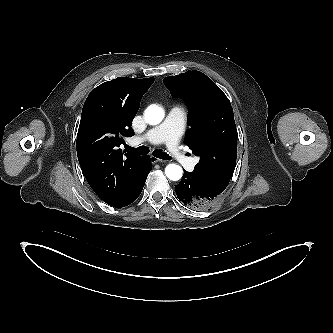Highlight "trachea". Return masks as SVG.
Wrapping results in <instances>:
<instances>
[{
    "label": "trachea",
    "mask_w": 333,
    "mask_h": 333,
    "mask_svg": "<svg viewBox=\"0 0 333 333\" xmlns=\"http://www.w3.org/2000/svg\"><path fill=\"white\" fill-rule=\"evenodd\" d=\"M125 150L128 151V152H131L133 154H137V155H146V154L149 153V148L145 147V146H141V147H138V148H133L131 146L126 145ZM152 154L155 157L160 158V159H164V160L171 159V157L167 153L162 152L160 150H155V151H153Z\"/></svg>",
    "instance_id": "1"
}]
</instances>
